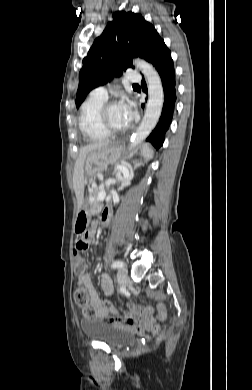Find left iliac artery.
I'll use <instances>...</instances> for the list:
<instances>
[{"label": "left iliac artery", "mask_w": 252, "mask_h": 390, "mask_svg": "<svg viewBox=\"0 0 252 390\" xmlns=\"http://www.w3.org/2000/svg\"><path fill=\"white\" fill-rule=\"evenodd\" d=\"M123 262L122 261H120V260H116V261H114L113 263H112V268L113 269H116V268H122L123 267Z\"/></svg>", "instance_id": "left-iliac-artery-1"}]
</instances>
